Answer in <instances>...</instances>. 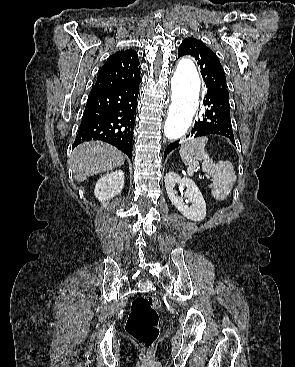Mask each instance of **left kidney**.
I'll return each instance as SVG.
<instances>
[{"instance_id":"1","label":"left kidney","mask_w":295,"mask_h":367,"mask_svg":"<svg viewBox=\"0 0 295 367\" xmlns=\"http://www.w3.org/2000/svg\"><path fill=\"white\" fill-rule=\"evenodd\" d=\"M167 195L177 210L187 219L202 221L206 216V203L197 185L190 178H181L175 172H169L164 178ZM186 188L181 196L174 189Z\"/></svg>"}]
</instances>
